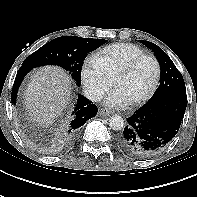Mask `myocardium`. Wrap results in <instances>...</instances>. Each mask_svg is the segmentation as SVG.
I'll return each instance as SVG.
<instances>
[{
    "label": "myocardium",
    "instance_id": "1",
    "mask_svg": "<svg viewBox=\"0 0 197 197\" xmlns=\"http://www.w3.org/2000/svg\"><path fill=\"white\" fill-rule=\"evenodd\" d=\"M144 60H151L154 63L155 77H154V80H153L150 88L142 96L128 102L127 104L129 106H136V105L144 103L156 91L158 84H159V80H160V74H161V67H160V63H159L158 59L153 55H148V54L141 55V56L133 59L130 63H128L123 68H121L114 77V85H116L117 81L120 78L131 74L135 70V68Z\"/></svg>",
    "mask_w": 197,
    "mask_h": 197
}]
</instances>
